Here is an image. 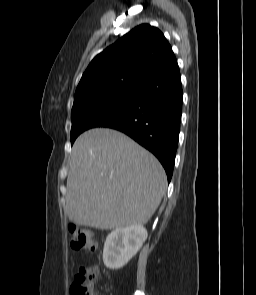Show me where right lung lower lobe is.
<instances>
[{
  "mask_svg": "<svg viewBox=\"0 0 256 295\" xmlns=\"http://www.w3.org/2000/svg\"><path fill=\"white\" fill-rule=\"evenodd\" d=\"M183 92L176 58L136 91L135 101L98 127L124 132L151 151L173 174L182 114Z\"/></svg>",
  "mask_w": 256,
  "mask_h": 295,
  "instance_id": "98d812e1",
  "label": "right lung lower lobe"
}]
</instances>
